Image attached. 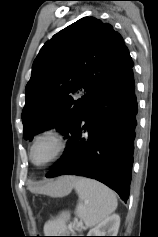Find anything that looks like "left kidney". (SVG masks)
<instances>
[{
    "instance_id": "obj_1",
    "label": "left kidney",
    "mask_w": 158,
    "mask_h": 237,
    "mask_svg": "<svg viewBox=\"0 0 158 237\" xmlns=\"http://www.w3.org/2000/svg\"><path fill=\"white\" fill-rule=\"evenodd\" d=\"M119 226L120 216L118 214H112L91 229L87 236H117Z\"/></svg>"
}]
</instances>
